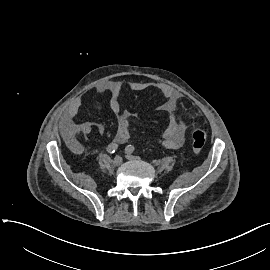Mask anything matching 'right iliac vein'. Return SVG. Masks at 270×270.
Listing matches in <instances>:
<instances>
[{
    "label": "right iliac vein",
    "mask_w": 270,
    "mask_h": 270,
    "mask_svg": "<svg viewBox=\"0 0 270 270\" xmlns=\"http://www.w3.org/2000/svg\"><path fill=\"white\" fill-rule=\"evenodd\" d=\"M112 163H113L114 166L121 165V163H122V157L119 156V155L115 156Z\"/></svg>",
    "instance_id": "obj_1"
}]
</instances>
